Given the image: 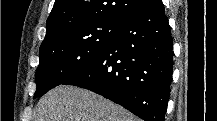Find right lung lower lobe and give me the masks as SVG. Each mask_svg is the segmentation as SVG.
Masks as SVG:
<instances>
[{
  "instance_id": "98d812e1",
  "label": "right lung lower lobe",
  "mask_w": 217,
  "mask_h": 121,
  "mask_svg": "<svg viewBox=\"0 0 217 121\" xmlns=\"http://www.w3.org/2000/svg\"><path fill=\"white\" fill-rule=\"evenodd\" d=\"M173 41L161 0L126 18L100 56L61 84L91 90L145 121H164Z\"/></svg>"
}]
</instances>
